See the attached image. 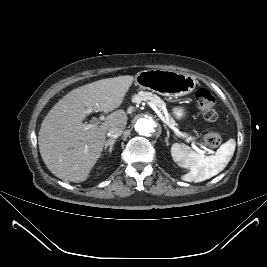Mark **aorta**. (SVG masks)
Wrapping results in <instances>:
<instances>
[{
  "label": "aorta",
  "mask_w": 267,
  "mask_h": 267,
  "mask_svg": "<svg viewBox=\"0 0 267 267\" xmlns=\"http://www.w3.org/2000/svg\"><path fill=\"white\" fill-rule=\"evenodd\" d=\"M135 130L143 136H149L155 132V123L149 118H139L135 124Z\"/></svg>",
  "instance_id": "1"
}]
</instances>
